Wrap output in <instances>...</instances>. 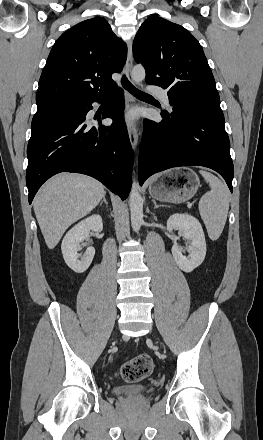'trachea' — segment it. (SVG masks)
Here are the masks:
<instances>
[{
  "instance_id": "obj_1",
  "label": "trachea",
  "mask_w": 263,
  "mask_h": 440,
  "mask_svg": "<svg viewBox=\"0 0 263 440\" xmlns=\"http://www.w3.org/2000/svg\"><path fill=\"white\" fill-rule=\"evenodd\" d=\"M122 85L125 89H127L130 93H132L134 96L136 97H151L150 95L138 90L137 88H135L130 82L129 80L126 78V76L124 75L122 78Z\"/></svg>"
}]
</instances>
